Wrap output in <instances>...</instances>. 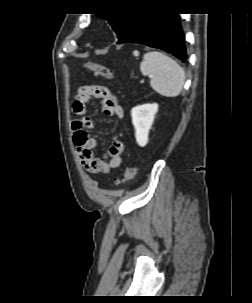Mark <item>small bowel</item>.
Wrapping results in <instances>:
<instances>
[{"label": "small bowel", "instance_id": "obj_1", "mask_svg": "<svg viewBox=\"0 0 252 303\" xmlns=\"http://www.w3.org/2000/svg\"><path fill=\"white\" fill-rule=\"evenodd\" d=\"M93 99L101 100L105 115L113 117L117 122L122 121L124 115L122 105L109 88L101 85L86 84L78 89L74 102L75 112L79 115H84ZM94 126V121L89 117L75 121L73 123V141L80 161L88 172L96 175L108 174L122 163V153L125 149V144L119 139V135L114 133L105 157L103 159L95 158L96 140L87 131Z\"/></svg>", "mask_w": 252, "mask_h": 303}]
</instances>
